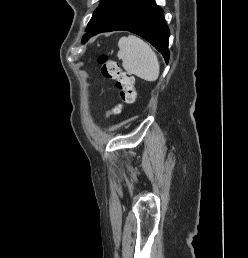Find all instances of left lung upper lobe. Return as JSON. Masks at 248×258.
Masks as SVG:
<instances>
[{
	"mask_svg": "<svg viewBox=\"0 0 248 258\" xmlns=\"http://www.w3.org/2000/svg\"><path fill=\"white\" fill-rule=\"evenodd\" d=\"M128 1L129 0H101L100 5L94 11L92 18L87 25L86 31H89L103 22Z\"/></svg>",
	"mask_w": 248,
	"mask_h": 258,
	"instance_id": "left-lung-upper-lobe-1",
	"label": "left lung upper lobe"
}]
</instances>
